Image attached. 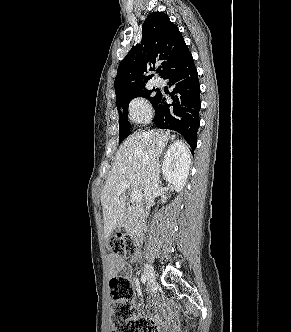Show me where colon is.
Masks as SVG:
<instances>
[{"label":"colon","mask_w":291,"mask_h":332,"mask_svg":"<svg viewBox=\"0 0 291 332\" xmlns=\"http://www.w3.org/2000/svg\"><path fill=\"white\" fill-rule=\"evenodd\" d=\"M107 249L118 257L128 258L136 253L133 239L118 233L106 240ZM111 298V332H157V324L140 315L134 301L132 283L125 277L113 276L109 282Z\"/></svg>","instance_id":"colon-1"}]
</instances>
